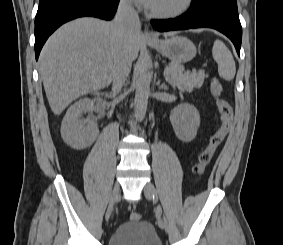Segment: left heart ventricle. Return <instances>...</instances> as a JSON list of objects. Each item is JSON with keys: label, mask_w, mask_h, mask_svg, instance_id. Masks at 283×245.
Instances as JSON below:
<instances>
[{"label": "left heart ventricle", "mask_w": 283, "mask_h": 245, "mask_svg": "<svg viewBox=\"0 0 283 245\" xmlns=\"http://www.w3.org/2000/svg\"><path fill=\"white\" fill-rule=\"evenodd\" d=\"M182 0H154L150 8L156 10H170L177 7Z\"/></svg>", "instance_id": "left-heart-ventricle-1"}]
</instances>
